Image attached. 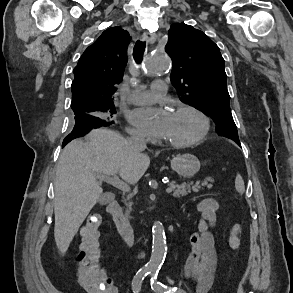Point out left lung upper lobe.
Masks as SVG:
<instances>
[{
	"label": "left lung upper lobe",
	"mask_w": 293,
	"mask_h": 293,
	"mask_svg": "<svg viewBox=\"0 0 293 293\" xmlns=\"http://www.w3.org/2000/svg\"><path fill=\"white\" fill-rule=\"evenodd\" d=\"M173 63L171 82L180 100L208 113L216 132L239 142L230 110L224 59L218 46L202 31L184 23L169 30L165 48Z\"/></svg>",
	"instance_id": "left-lung-upper-lobe-1"
}]
</instances>
